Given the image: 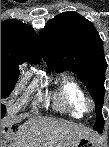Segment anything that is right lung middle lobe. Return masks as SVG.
<instances>
[{"label":"right lung middle lobe","instance_id":"dd1d6c3e","mask_svg":"<svg viewBox=\"0 0 109 147\" xmlns=\"http://www.w3.org/2000/svg\"><path fill=\"white\" fill-rule=\"evenodd\" d=\"M19 75L17 67L1 66V98L7 97L14 88ZM5 115V106L1 104V117Z\"/></svg>","mask_w":109,"mask_h":147}]
</instances>
